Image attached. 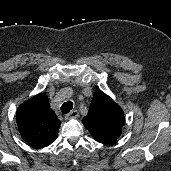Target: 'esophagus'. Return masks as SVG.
<instances>
[{"mask_svg": "<svg viewBox=\"0 0 171 171\" xmlns=\"http://www.w3.org/2000/svg\"><path fill=\"white\" fill-rule=\"evenodd\" d=\"M79 114L77 110H73L70 113H68L67 115H65V120H69V119H74V118H78Z\"/></svg>", "mask_w": 171, "mask_h": 171, "instance_id": "1", "label": "esophagus"}]
</instances>
